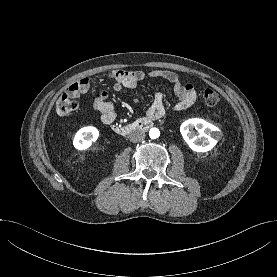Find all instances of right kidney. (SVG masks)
Here are the masks:
<instances>
[{
	"instance_id": "right-kidney-1",
	"label": "right kidney",
	"mask_w": 277,
	"mask_h": 277,
	"mask_svg": "<svg viewBox=\"0 0 277 277\" xmlns=\"http://www.w3.org/2000/svg\"><path fill=\"white\" fill-rule=\"evenodd\" d=\"M99 136V131L93 126L81 128L74 136L73 145L78 150H85L95 142Z\"/></svg>"
}]
</instances>
